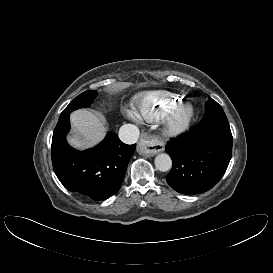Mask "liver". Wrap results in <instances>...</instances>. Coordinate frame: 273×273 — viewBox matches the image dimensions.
<instances>
[{"label":"liver","mask_w":273,"mask_h":273,"mask_svg":"<svg viewBox=\"0 0 273 273\" xmlns=\"http://www.w3.org/2000/svg\"><path fill=\"white\" fill-rule=\"evenodd\" d=\"M71 123L77 135L68 138V142L85 149L99 143L106 134V127L100 119L87 110H77L71 114Z\"/></svg>","instance_id":"1"}]
</instances>
